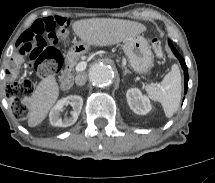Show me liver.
<instances>
[{
	"label": "liver",
	"instance_id": "liver-1",
	"mask_svg": "<svg viewBox=\"0 0 215 183\" xmlns=\"http://www.w3.org/2000/svg\"><path fill=\"white\" fill-rule=\"evenodd\" d=\"M72 28L82 42L94 46L114 45L146 31L141 23L110 18L79 20L72 24ZM58 96L59 86L53 75L39 82L29 100V127H36L46 118Z\"/></svg>",
	"mask_w": 215,
	"mask_h": 183
}]
</instances>
